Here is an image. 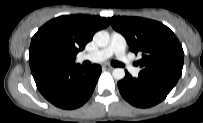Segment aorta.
<instances>
[{
	"instance_id": "aorta-1",
	"label": "aorta",
	"mask_w": 203,
	"mask_h": 123,
	"mask_svg": "<svg viewBox=\"0 0 203 123\" xmlns=\"http://www.w3.org/2000/svg\"><path fill=\"white\" fill-rule=\"evenodd\" d=\"M93 41L99 47H105L109 44L110 35L107 31L101 30L94 34ZM114 79L121 80L125 77V70L123 68H115L112 72Z\"/></svg>"
}]
</instances>
